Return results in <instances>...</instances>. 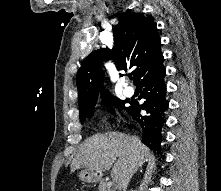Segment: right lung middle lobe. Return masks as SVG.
I'll return each instance as SVG.
<instances>
[{"label":"right lung middle lobe","mask_w":221,"mask_h":191,"mask_svg":"<svg viewBox=\"0 0 221 191\" xmlns=\"http://www.w3.org/2000/svg\"><path fill=\"white\" fill-rule=\"evenodd\" d=\"M103 103L106 105H113V106L125 108L126 110L129 109V107L125 106L127 101L126 100L123 101L118 98H109V99L103 101ZM93 109H94V107L86 112L80 113L79 117H80V121L82 124L84 123V121L86 120L87 117H91L93 115Z\"/></svg>","instance_id":"right-lung-middle-lobe-1"}]
</instances>
